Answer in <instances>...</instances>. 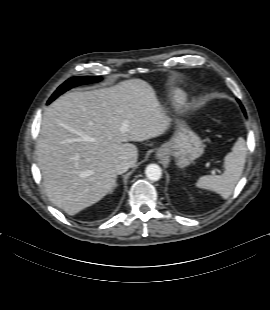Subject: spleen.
<instances>
[{
  "label": "spleen",
  "instance_id": "obj_1",
  "mask_svg": "<svg viewBox=\"0 0 270 310\" xmlns=\"http://www.w3.org/2000/svg\"><path fill=\"white\" fill-rule=\"evenodd\" d=\"M246 160L245 141L239 138L232 151L224 158L225 171L222 175H205L198 179V188L214 191L224 199L234 191L244 169Z\"/></svg>",
  "mask_w": 270,
  "mask_h": 310
}]
</instances>
